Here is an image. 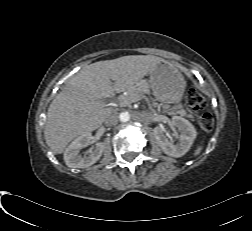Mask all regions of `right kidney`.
I'll use <instances>...</instances> for the list:
<instances>
[{
  "label": "right kidney",
  "instance_id": "1",
  "mask_svg": "<svg viewBox=\"0 0 252 231\" xmlns=\"http://www.w3.org/2000/svg\"><path fill=\"white\" fill-rule=\"evenodd\" d=\"M91 133L83 134L76 138L65 150L64 161L71 168H86L96 163L104 151L105 145L103 142L96 143L90 149L89 155H80V150L90 144Z\"/></svg>",
  "mask_w": 252,
  "mask_h": 231
}]
</instances>
